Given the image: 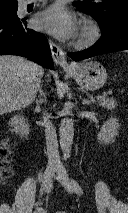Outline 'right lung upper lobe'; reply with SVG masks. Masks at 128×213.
Instances as JSON below:
<instances>
[{
    "instance_id": "right-lung-upper-lobe-1",
    "label": "right lung upper lobe",
    "mask_w": 128,
    "mask_h": 213,
    "mask_svg": "<svg viewBox=\"0 0 128 213\" xmlns=\"http://www.w3.org/2000/svg\"><path fill=\"white\" fill-rule=\"evenodd\" d=\"M18 5L17 0H0V7H9Z\"/></svg>"
}]
</instances>
